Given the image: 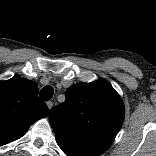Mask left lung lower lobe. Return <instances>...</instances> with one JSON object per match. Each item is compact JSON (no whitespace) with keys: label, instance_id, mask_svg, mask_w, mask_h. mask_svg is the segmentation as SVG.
Wrapping results in <instances>:
<instances>
[{"label":"left lung lower lobe","instance_id":"1","mask_svg":"<svg viewBox=\"0 0 156 156\" xmlns=\"http://www.w3.org/2000/svg\"><path fill=\"white\" fill-rule=\"evenodd\" d=\"M59 145V144H58ZM60 148L67 154V156H83L82 154L76 153L72 150H67L66 148H64L62 145H59Z\"/></svg>","mask_w":156,"mask_h":156}]
</instances>
